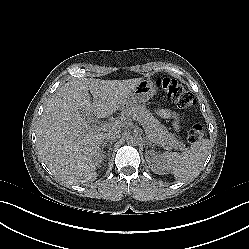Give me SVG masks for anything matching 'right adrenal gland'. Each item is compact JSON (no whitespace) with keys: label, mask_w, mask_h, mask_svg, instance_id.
<instances>
[{"label":"right adrenal gland","mask_w":249,"mask_h":249,"mask_svg":"<svg viewBox=\"0 0 249 249\" xmlns=\"http://www.w3.org/2000/svg\"><path fill=\"white\" fill-rule=\"evenodd\" d=\"M106 142H107V141H106ZM105 144H106V143H104V145H102V146H103V148L101 149V152H103V151H104V146H105Z\"/></svg>","instance_id":"1"}]
</instances>
